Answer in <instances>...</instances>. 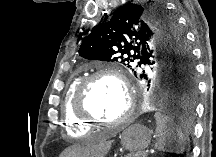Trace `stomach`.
<instances>
[{"label": "stomach", "instance_id": "0dacf381", "mask_svg": "<svg viewBox=\"0 0 216 157\" xmlns=\"http://www.w3.org/2000/svg\"><path fill=\"white\" fill-rule=\"evenodd\" d=\"M152 131L148 128L135 124L122 133V142L129 151H143L150 144Z\"/></svg>", "mask_w": 216, "mask_h": 157}]
</instances>
